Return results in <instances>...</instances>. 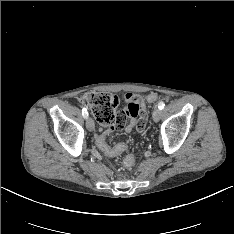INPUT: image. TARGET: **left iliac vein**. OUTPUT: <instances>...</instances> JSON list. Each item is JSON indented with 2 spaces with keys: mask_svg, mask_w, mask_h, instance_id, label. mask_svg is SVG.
<instances>
[{
  "mask_svg": "<svg viewBox=\"0 0 234 234\" xmlns=\"http://www.w3.org/2000/svg\"><path fill=\"white\" fill-rule=\"evenodd\" d=\"M161 115H162L161 110H160L159 108L156 107V108L154 109L153 113H152L153 120H154L155 122H158V121L160 120V118H161Z\"/></svg>",
  "mask_w": 234,
  "mask_h": 234,
  "instance_id": "obj_1",
  "label": "left iliac vein"
}]
</instances>
